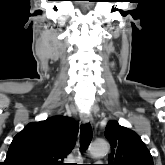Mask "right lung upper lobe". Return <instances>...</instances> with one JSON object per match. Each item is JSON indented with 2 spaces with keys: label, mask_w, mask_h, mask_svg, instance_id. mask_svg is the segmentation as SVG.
Returning <instances> with one entry per match:
<instances>
[{
  "label": "right lung upper lobe",
  "mask_w": 165,
  "mask_h": 165,
  "mask_svg": "<svg viewBox=\"0 0 165 165\" xmlns=\"http://www.w3.org/2000/svg\"><path fill=\"white\" fill-rule=\"evenodd\" d=\"M78 123L63 116L29 123L18 133L12 143L4 165H62L73 149Z\"/></svg>",
  "instance_id": "right-lung-upper-lobe-1"
}]
</instances>
